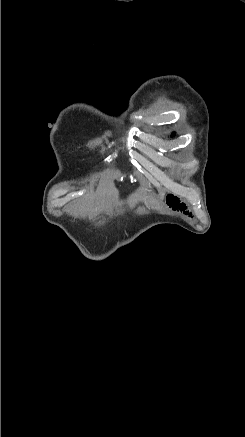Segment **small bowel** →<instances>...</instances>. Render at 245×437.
Segmentation results:
<instances>
[{
	"mask_svg": "<svg viewBox=\"0 0 245 437\" xmlns=\"http://www.w3.org/2000/svg\"><path fill=\"white\" fill-rule=\"evenodd\" d=\"M168 202H169V206L175 210V211H179L185 214H188L189 211L186 207V205L184 203H182L178 198H176L175 196H169L168 198Z\"/></svg>",
	"mask_w": 245,
	"mask_h": 437,
	"instance_id": "obj_1",
	"label": "small bowel"
}]
</instances>
